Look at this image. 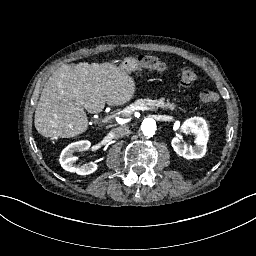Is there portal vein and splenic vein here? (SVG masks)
I'll return each instance as SVG.
<instances>
[{
    "mask_svg": "<svg viewBox=\"0 0 256 256\" xmlns=\"http://www.w3.org/2000/svg\"><path fill=\"white\" fill-rule=\"evenodd\" d=\"M137 109L139 110H142V109H148V110H151V111H156V108H153V107H149V106H142V105H137V104H134L133 107H128L126 109H123L117 113H114L112 115H108V116H105L102 120H101V123L105 124L107 123L111 118H119L117 117L118 115H121V116H130L131 114H133L134 111H136ZM123 119V118H122Z\"/></svg>",
    "mask_w": 256,
    "mask_h": 256,
    "instance_id": "portal-vein-and-splenic-vein-1",
    "label": "portal vein and splenic vein"
}]
</instances>
